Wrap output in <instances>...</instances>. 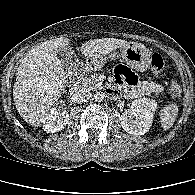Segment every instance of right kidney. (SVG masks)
Segmentation results:
<instances>
[{"mask_svg":"<svg viewBox=\"0 0 195 195\" xmlns=\"http://www.w3.org/2000/svg\"><path fill=\"white\" fill-rule=\"evenodd\" d=\"M69 120V115L65 110H62L60 106L58 108H52L49 117L43 121V129L47 133H56L64 129Z\"/></svg>","mask_w":195,"mask_h":195,"instance_id":"1","label":"right kidney"}]
</instances>
